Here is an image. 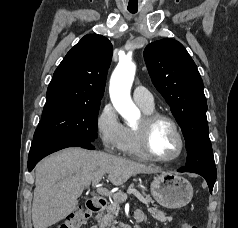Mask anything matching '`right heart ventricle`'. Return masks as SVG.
Segmentation results:
<instances>
[{"instance_id": "1", "label": "right heart ventricle", "mask_w": 238, "mask_h": 228, "mask_svg": "<svg viewBox=\"0 0 238 228\" xmlns=\"http://www.w3.org/2000/svg\"><path fill=\"white\" fill-rule=\"evenodd\" d=\"M141 109L145 114L153 112V108L147 109L141 107ZM121 151L130 157L149 159L141 149L136 128L132 126L125 127V137L122 143Z\"/></svg>"}]
</instances>
